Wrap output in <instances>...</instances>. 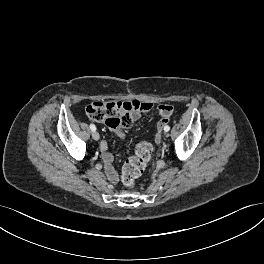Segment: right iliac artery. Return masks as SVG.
<instances>
[{
  "instance_id": "obj_1",
  "label": "right iliac artery",
  "mask_w": 264,
  "mask_h": 264,
  "mask_svg": "<svg viewBox=\"0 0 264 264\" xmlns=\"http://www.w3.org/2000/svg\"><path fill=\"white\" fill-rule=\"evenodd\" d=\"M90 129H91L92 131H95V130H96L95 125H94V124H90Z\"/></svg>"
}]
</instances>
